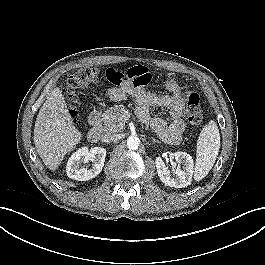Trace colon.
Masks as SVG:
<instances>
[{
  "label": "colon",
  "instance_id": "colon-1",
  "mask_svg": "<svg viewBox=\"0 0 265 265\" xmlns=\"http://www.w3.org/2000/svg\"><path fill=\"white\" fill-rule=\"evenodd\" d=\"M126 81H133L135 84L142 85L146 81L142 80L136 73L129 69L126 73L118 71L114 68H108L105 72H101L96 68H82L73 73L66 86V96L69 102L70 112L75 115L77 113L78 94L79 92L92 85L99 83H110L116 86L122 85ZM186 117L192 125H200L203 121V111L201 107L200 97L197 93H191L187 100Z\"/></svg>",
  "mask_w": 265,
  "mask_h": 265
}]
</instances>
